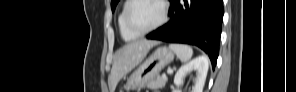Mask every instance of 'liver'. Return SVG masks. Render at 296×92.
Returning a JSON list of instances; mask_svg holds the SVG:
<instances>
[{
  "label": "liver",
  "mask_w": 296,
  "mask_h": 92,
  "mask_svg": "<svg viewBox=\"0 0 296 92\" xmlns=\"http://www.w3.org/2000/svg\"><path fill=\"white\" fill-rule=\"evenodd\" d=\"M157 41L141 40L129 43L119 49L114 57L110 74V92H114L118 82L146 57Z\"/></svg>",
  "instance_id": "liver-1"
}]
</instances>
